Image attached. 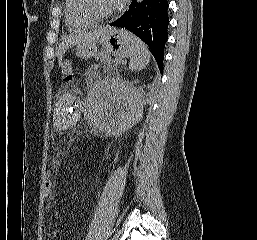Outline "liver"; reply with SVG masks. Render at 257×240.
<instances>
[{"mask_svg":"<svg viewBox=\"0 0 257 240\" xmlns=\"http://www.w3.org/2000/svg\"><path fill=\"white\" fill-rule=\"evenodd\" d=\"M107 27V26H106ZM106 27H100L94 31L82 32L65 37L59 45L58 60L61 64L64 53L73 46L80 44H89L98 40L105 32Z\"/></svg>","mask_w":257,"mask_h":240,"instance_id":"6515ba94","label":"liver"}]
</instances>
